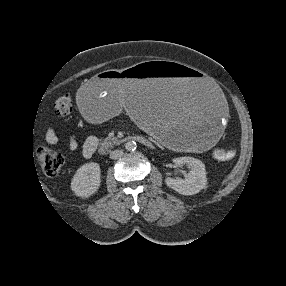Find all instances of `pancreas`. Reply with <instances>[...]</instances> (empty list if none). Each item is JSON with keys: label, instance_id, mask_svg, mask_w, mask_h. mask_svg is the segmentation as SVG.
I'll list each match as a JSON object with an SVG mask.
<instances>
[{"label": "pancreas", "instance_id": "cf45deb5", "mask_svg": "<svg viewBox=\"0 0 286 286\" xmlns=\"http://www.w3.org/2000/svg\"><path fill=\"white\" fill-rule=\"evenodd\" d=\"M113 139H115V138H112V137H108V138H107V140H113Z\"/></svg>", "mask_w": 286, "mask_h": 286}]
</instances>
